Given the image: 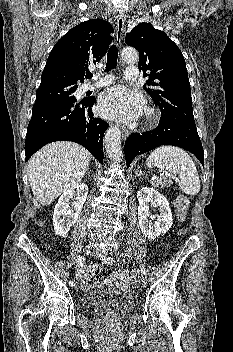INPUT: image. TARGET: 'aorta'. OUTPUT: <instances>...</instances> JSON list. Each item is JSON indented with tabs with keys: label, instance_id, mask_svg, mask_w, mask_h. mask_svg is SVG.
Instances as JSON below:
<instances>
[{
	"label": "aorta",
	"instance_id": "aorta-1",
	"mask_svg": "<svg viewBox=\"0 0 233 352\" xmlns=\"http://www.w3.org/2000/svg\"><path fill=\"white\" fill-rule=\"evenodd\" d=\"M122 58L128 62H136L138 53L133 48H126L122 51ZM106 151L113 161L120 162L122 159L121 130L119 126L110 127L104 138Z\"/></svg>",
	"mask_w": 233,
	"mask_h": 352
}]
</instances>
